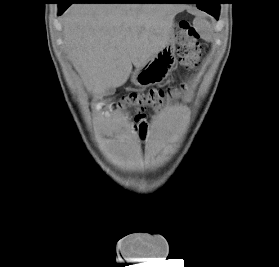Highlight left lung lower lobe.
I'll return each mask as SVG.
<instances>
[{"mask_svg": "<svg viewBox=\"0 0 279 267\" xmlns=\"http://www.w3.org/2000/svg\"><path fill=\"white\" fill-rule=\"evenodd\" d=\"M174 3H197L198 9L211 14L217 19L221 2L219 0H178Z\"/></svg>", "mask_w": 279, "mask_h": 267, "instance_id": "obj_1", "label": "left lung lower lobe"}]
</instances>
